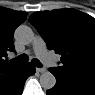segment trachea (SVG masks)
<instances>
[{
    "label": "trachea",
    "instance_id": "obj_1",
    "mask_svg": "<svg viewBox=\"0 0 95 95\" xmlns=\"http://www.w3.org/2000/svg\"><path fill=\"white\" fill-rule=\"evenodd\" d=\"M16 60L19 61V62H27L28 61V56L26 54H21L16 58ZM32 63H33L34 66H36L38 68L42 67L41 62L36 58L32 59Z\"/></svg>",
    "mask_w": 95,
    "mask_h": 95
}]
</instances>
